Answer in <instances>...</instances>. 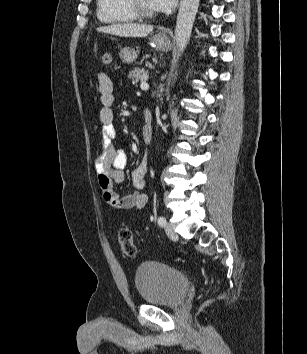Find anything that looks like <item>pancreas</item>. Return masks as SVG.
<instances>
[{"label":"pancreas","instance_id":"obj_1","mask_svg":"<svg viewBox=\"0 0 307 354\" xmlns=\"http://www.w3.org/2000/svg\"><path fill=\"white\" fill-rule=\"evenodd\" d=\"M128 78L132 81L133 85L138 86L139 82L148 79V71L145 68L135 67L129 72Z\"/></svg>","mask_w":307,"mask_h":354}]
</instances>
